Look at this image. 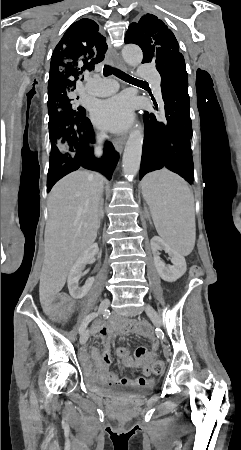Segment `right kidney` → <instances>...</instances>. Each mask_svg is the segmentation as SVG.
Segmentation results:
<instances>
[{
  "mask_svg": "<svg viewBox=\"0 0 241 450\" xmlns=\"http://www.w3.org/2000/svg\"><path fill=\"white\" fill-rule=\"evenodd\" d=\"M94 256H99L98 244H92L90 248H87V250L79 256L69 272L67 280L68 290L70 296H72L74 300H81V298H84L94 282V278H88L84 286H81V288L79 286V280H81L82 276H85L88 272V270H86V272H83V270H85L86 264H91V260Z\"/></svg>",
  "mask_w": 241,
  "mask_h": 450,
  "instance_id": "1",
  "label": "right kidney"
}]
</instances>
